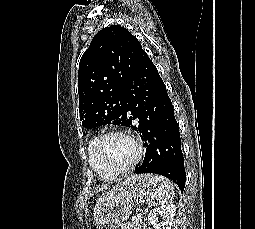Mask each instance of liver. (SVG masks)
<instances>
[{
  "mask_svg": "<svg viewBox=\"0 0 255 229\" xmlns=\"http://www.w3.org/2000/svg\"><path fill=\"white\" fill-rule=\"evenodd\" d=\"M118 188H119V184L99 197L94 208L95 213H97L102 208V206L105 204L106 201H108L110 198H112L116 194Z\"/></svg>",
  "mask_w": 255,
  "mask_h": 229,
  "instance_id": "liver-1",
  "label": "liver"
}]
</instances>
